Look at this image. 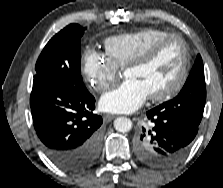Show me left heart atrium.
<instances>
[{
    "label": "left heart atrium",
    "mask_w": 223,
    "mask_h": 188,
    "mask_svg": "<svg viewBox=\"0 0 223 188\" xmlns=\"http://www.w3.org/2000/svg\"><path fill=\"white\" fill-rule=\"evenodd\" d=\"M148 94L136 80L126 79L118 87L107 92L99 102L100 109L110 113H131L147 99Z\"/></svg>",
    "instance_id": "left-heart-atrium-1"
}]
</instances>
